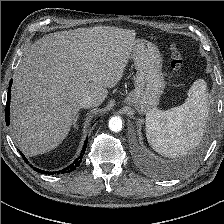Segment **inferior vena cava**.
Masks as SVG:
<instances>
[{
    "mask_svg": "<svg viewBox=\"0 0 224 224\" xmlns=\"http://www.w3.org/2000/svg\"><path fill=\"white\" fill-rule=\"evenodd\" d=\"M79 105H80L81 108H89V107H92V106H96V101L92 96L86 95V96H83L79 100Z\"/></svg>",
    "mask_w": 224,
    "mask_h": 224,
    "instance_id": "obj_1",
    "label": "inferior vena cava"
}]
</instances>
